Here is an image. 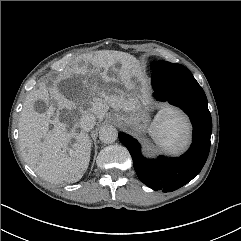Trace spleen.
<instances>
[{
  "mask_svg": "<svg viewBox=\"0 0 241 241\" xmlns=\"http://www.w3.org/2000/svg\"><path fill=\"white\" fill-rule=\"evenodd\" d=\"M149 134L158 147L178 154L189 143L190 125L178 110L165 107L150 126Z\"/></svg>",
  "mask_w": 241,
  "mask_h": 241,
  "instance_id": "spleen-1",
  "label": "spleen"
}]
</instances>
